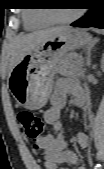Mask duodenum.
<instances>
[{
  "label": "duodenum",
  "mask_w": 104,
  "mask_h": 169,
  "mask_svg": "<svg viewBox=\"0 0 104 169\" xmlns=\"http://www.w3.org/2000/svg\"><path fill=\"white\" fill-rule=\"evenodd\" d=\"M78 103H79L80 105H83V104H84V100H83V99H79V100H78Z\"/></svg>",
  "instance_id": "1"
}]
</instances>
